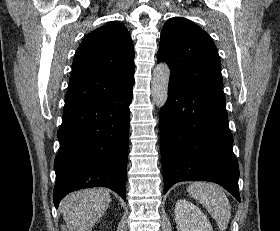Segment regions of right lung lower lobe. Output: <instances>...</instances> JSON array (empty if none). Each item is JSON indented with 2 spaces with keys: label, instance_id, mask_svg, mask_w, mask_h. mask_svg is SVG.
<instances>
[{
  "label": "right lung lower lobe",
  "instance_id": "right-lung-lower-lobe-1",
  "mask_svg": "<svg viewBox=\"0 0 280 231\" xmlns=\"http://www.w3.org/2000/svg\"><path fill=\"white\" fill-rule=\"evenodd\" d=\"M132 89L63 112L55 158L56 208L68 193L107 187L125 200Z\"/></svg>",
  "mask_w": 280,
  "mask_h": 231
}]
</instances>
